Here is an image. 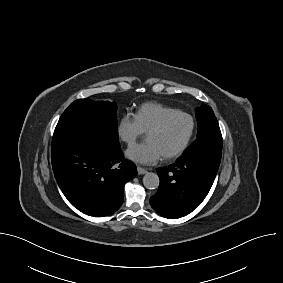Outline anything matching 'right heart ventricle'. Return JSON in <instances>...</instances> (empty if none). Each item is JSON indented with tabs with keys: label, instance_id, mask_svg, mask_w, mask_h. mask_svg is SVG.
I'll list each match as a JSON object with an SVG mask.
<instances>
[{
	"label": "right heart ventricle",
	"instance_id": "obj_1",
	"mask_svg": "<svg viewBox=\"0 0 283 283\" xmlns=\"http://www.w3.org/2000/svg\"><path fill=\"white\" fill-rule=\"evenodd\" d=\"M178 111L175 108L157 102L141 105L136 112L138 122L144 132H148L166 115Z\"/></svg>",
	"mask_w": 283,
	"mask_h": 283
}]
</instances>
